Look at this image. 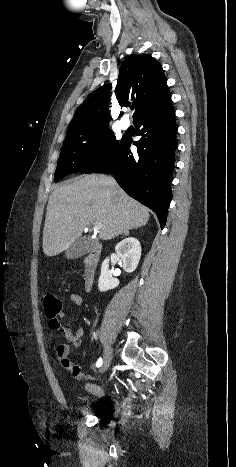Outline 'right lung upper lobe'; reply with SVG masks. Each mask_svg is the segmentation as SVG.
Returning <instances> with one entry per match:
<instances>
[{"mask_svg":"<svg viewBox=\"0 0 236 467\" xmlns=\"http://www.w3.org/2000/svg\"><path fill=\"white\" fill-rule=\"evenodd\" d=\"M110 84L95 90L77 109L67 134L85 133L107 128ZM116 97L121 106L133 100L136 110L133 122L170 98L162 66L150 54L133 55L122 63L116 85Z\"/></svg>","mask_w":236,"mask_h":467,"instance_id":"cb5924a9","label":"right lung upper lobe"}]
</instances>
